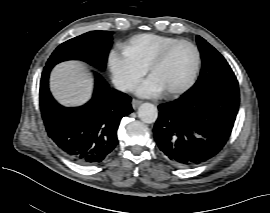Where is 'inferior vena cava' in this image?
I'll return each instance as SVG.
<instances>
[{
    "label": "inferior vena cava",
    "mask_w": 270,
    "mask_h": 213,
    "mask_svg": "<svg viewBox=\"0 0 270 213\" xmlns=\"http://www.w3.org/2000/svg\"><path fill=\"white\" fill-rule=\"evenodd\" d=\"M114 86L117 90L125 92L131 91L135 88V84L126 80H115Z\"/></svg>",
    "instance_id": "obj_1"
}]
</instances>
